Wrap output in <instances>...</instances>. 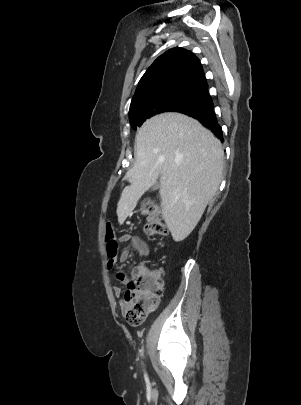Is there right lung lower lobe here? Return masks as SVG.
<instances>
[{
    "label": "right lung lower lobe",
    "instance_id": "obj_1",
    "mask_svg": "<svg viewBox=\"0 0 301 405\" xmlns=\"http://www.w3.org/2000/svg\"><path fill=\"white\" fill-rule=\"evenodd\" d=\"M179 112L200 121L203 126L210 129L223 142L224 139L222 129L217 122L213 103L198 108H187Z\"/></svg>",
    "mask_w": 301,
    "mask_h": 405
}]
</instances>
